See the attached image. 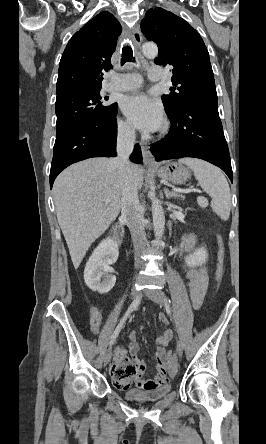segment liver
I'll list each match as a JSON object with an SVG mask.
<instances>
[{"instance_id":"1","label":"liver","mask_w":266,"mask_h":444,"mask_svg":"<svg viewBox=\"0 0 266 444\" xmlns=\"http://www.w3.org/2000/svg\"><path fill=\"white\" fill-rule=\"evenodd\" d=\"M132 178L140 190L143 170L131 164ZM124 178L114 159L91 158L65 169L55 180L53 198L57 220L75 269L91 244L118 216ZM109 199L110 202L106 203Z\"/></svg>"}]
</instances>
